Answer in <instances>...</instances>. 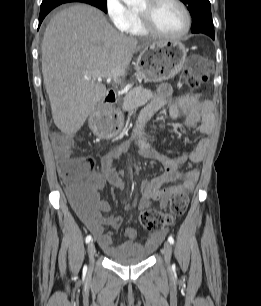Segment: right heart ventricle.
<instances>
[{
	"label": "right heart ventricle",
	"mask_w": 261,
	"mask_h": 306,
	"mask_svg": "<svg viewBox=\"0 0 261 306\" xmlns=\"http://www.w3.org/2000/svg\"><path fill=\"white\" fill-rule=\"evenodd\" d=\"M131 21L130 24L126 30V32L130 35L136 36V37H145L149 33L144 29L140 18L137 14V11L135 9H131Z\"/></svg>",
	"instance_id": "obj_1"
}]
</instances>
